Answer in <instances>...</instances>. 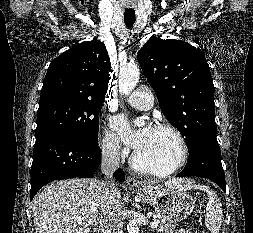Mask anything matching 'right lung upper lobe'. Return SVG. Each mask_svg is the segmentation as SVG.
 <instances>
[{"label": "right lung upper lobe", "mask_w": 253, "mask_h": 233, "mask_svg": "<svg viewBox=\"0 0 253 233\" xmlns=\"http://www.w3.org/2000/svg\"><path fill=\"white\" fill-rule=\"evenodd\" d=\"M111 72L104 43L97 39L82 42L50 63L40 103L51 99L104 102Z\"/></svg>", "instance_id": "obj_1"}]
</instances>
